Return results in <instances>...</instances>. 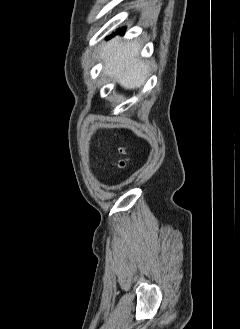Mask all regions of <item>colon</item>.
<instances>
[{"mask_svg": "<svg viewBox=\"0 0 240 329\" xmlns=\"http://www.w3.org/2000/svg\"><path fill=\"white\" fill-rule=\"evenodd\" d=\"M125 163H126L125 160H120V161L118 162V165L122 167V166L125 165Z\"/></svg>", "mask_w": 240, "mask_h": 329, "instance_id": "5ec220e1", "label": "colon"}]
</instances>
